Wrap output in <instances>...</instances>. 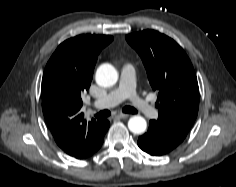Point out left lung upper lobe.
I'll list each match as a JSON object with an SVG mask.
<instances>
[{"mask_svg":"<svg viewBox=\"0 0 236 187\" xmlns=\"http://www.w3.org/2000/svg\"><path fill=\"white\" fill-rule=\"evenodd\" d=\"M126 40L142 58L151 87L158 92L157 122L186 136L199 107L190 59L173 39L154 30L129 34Z\"/></svg>","mask_w":236,"mask_h":187,"instance_id":"left-lung-upper-lobe-1","label":"left lung upper lobe"}]
</instances>
